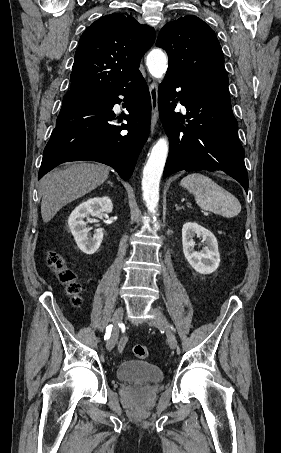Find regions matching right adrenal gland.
<instances>
[{"instance_id":"obj_1","label":"right adrenal gland","mask_w":281,"mask_h":453,"mask_svg":"<svg viewBox=\"0 0 281 453\" xmlns=\"http://www.w3.org/2000/svg\"><path fill=\"white\" fill-rule=\"evenodd\" d=\"M107 184H110V186H113V182H111V180H107Z\"/></svg>"}]
</instances>
